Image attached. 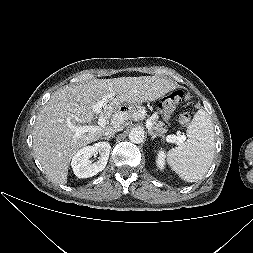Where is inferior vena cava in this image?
<instances>
[{"label":"inferior vena cava","mask_w":253,"mask_h":253,"mask_svg":"<svg viewBox=\"0 0 253 253\" xmlns=\"http://www.w3.org/2000/svg\"><path fill=\"white\" fill-rule=\"evenodd\" d=\"M118 131H121V129H112V130H110V131L105 132V133H104V136H105V137L112 136V135L115 134V132H118Z\"/></svg>","instance_id":"602c4592"}]
</instances>
